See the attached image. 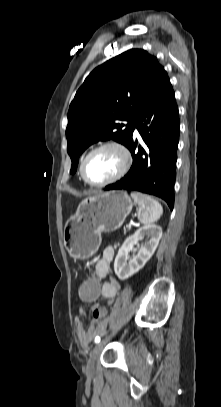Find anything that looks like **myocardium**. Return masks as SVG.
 <instances>
[{"label": "myocardium", "mask_w": 221, "mask_h": 407, "mask_svg": "<svg viewBox=\"0 0 221 407\" xmlns=\"http://www.w3.org/2000/svg\"><path fill=\"white\" fill-rule=\"evenodd\" d=\"M107 148H113V149H116L117 151H119V153L123 157V165H122L121 169L119 170V172L116 175H114L113 177H111L105 181H102V182H92L88 179V177L86 175V164H87L88 160L91 158V156H93L95 153H97L103 149H107ZM132 163H133L132 154L126 145H124L123 143H121L119 141H108V142L98 145L97 147L93 148L90 152H88V154L84 157V159L81 162L80 175H81L83 181L85 183H87L88 185H90L92 187H103V186L112 184V183L120 180L121 178H123L130 170Z\"/></svg>", "instance_id": "1"}]
</instances>
